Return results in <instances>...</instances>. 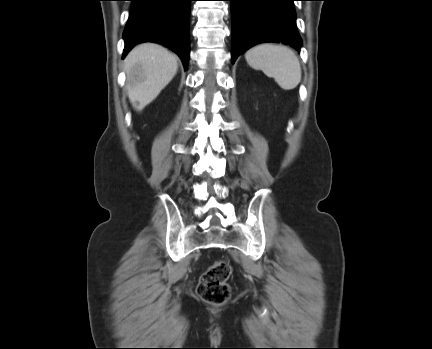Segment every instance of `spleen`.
Here are the masks:
<instances>
[{"label":"spleen","mask_w":432,"mask_h":349,"mask_svg":"<svg viewBox=\"0 0 432 349\" xmlns=\"http://www.w3.org/2000/svg\"><path fill=\"white\" fill-rule=\"evenodd\" d=\"M250 67L262 70L284 90L294 89L301 81V65L298 57L284 45L264 43L245 53Z\"/></svg>","instance_id":"3e777b00"}]
</instances>
